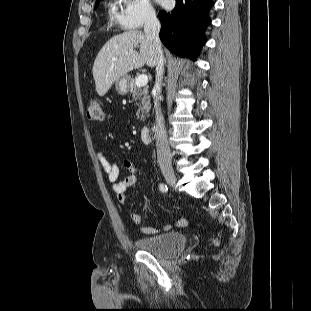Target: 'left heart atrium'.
Masks as SVG:
<instances>
[{
	"label": "left heart atrium",
	"instance_id": "1",
	"mask_svg": "<svg viewBox=\"0 0 311 311\" xmlns=\"http://www.w3.org/2000/svg\"><path fill=\"white\" fill-rule=\"evenodd\" d=\"M158 3L164 4L166 0H156Z\"/></svg>",
	"mask_w": 311,
	"mask_h": 311
}]
</instances>
